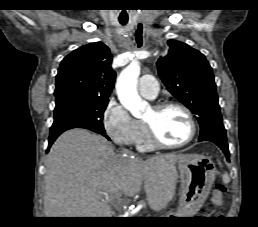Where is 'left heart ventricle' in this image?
Masks as SVG:
<instances>
[{
	"label": "left heart ventricle",
	"mask_w": 258,
	"mask_h": 227,
	"mask_svg": "<svg viewBox=\"0 0 258 227\" xmlns=\"http://www.w3.org/2000/svg\"><path fill=\"white\" fill-rule=\"evenodd\" d=\"M158 136L167 143H178L185 140L190 133V124L185 113L175 107L157 112L151 108L144 117Z\"/></svg>",
	"instance_id": "obj_1"
}]
</instances>
